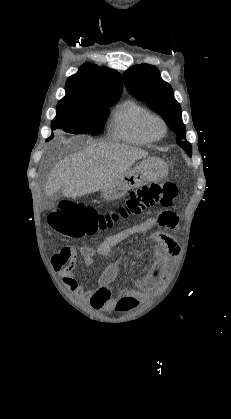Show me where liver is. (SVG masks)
<instances>
[{"instance_id":"liver-1","label":"liver","mask_w":231,"mask_h":419,"mask_svg":"<svg viewBox=\"0 0 231 419\" xmlns=\"http://www.w3.org/2000/svg\"><path fill=\"white\" fill-rule=\"evenodd\" d=\"M148 152L124 144L93 143L57 164L50 173L45 194L61 190L63 196L76 199L112 185Z\"/></svg>"}]
</instances>
